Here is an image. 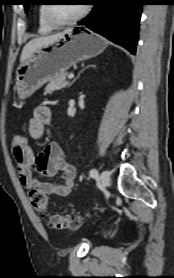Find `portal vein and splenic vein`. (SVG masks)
Masks as SVG:
<instances>
[{
	"label": "portal vein and splenic vein",
	"mask_w": 174,
	"mask_h": 278,
	"mask_svg": "<svg viewBox=\"0 0 174 278\" xmlns=\"http://www.w3.org/2000/svg\"><path fill=\"white\" fill-rule=\"evenodd\" d=\"M74 77V74H69L68 79H72Z\"/></svg>",
	"instance_id": "portal-vein-and-splenic-vein-1"
}]
</instances>
